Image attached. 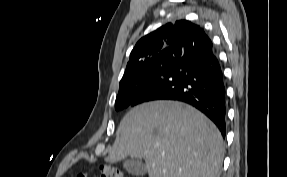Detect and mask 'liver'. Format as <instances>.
Instances as JSON below:
<instances>
[{
	"label": "liver",
	"instance_id": "liver-1",
	"mask_svg": "<svg viewBox=\"0 0 287 177\" xmlns=\"http://www.w3.org/2000/svg\"><path fill=\"white\" fill-rule=\"evenodd\" d=\"M144 158L149 177H219L223 139L195 108L176 101H153L122 119L106 162Z\"/></svg>",
	"mask_w": 287,
	"mask_h": 177
}]
</instances>
